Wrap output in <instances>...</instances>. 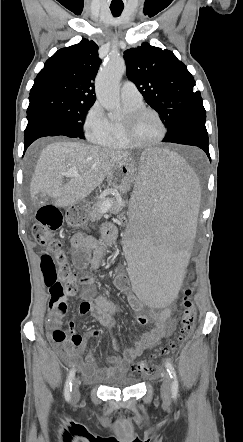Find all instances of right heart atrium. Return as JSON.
<instances>
[{
	"label": "right heart atrium",
	"mask_w": 243,
	"mask_h": 442,
	"mask_svg": "<svg viewBox=\"0 0 243 442\" xmlns=\"http://www.w3.org/2000/svg\"><path fill=\"white\" fill-rule=\"evenodd\" d=\"M108 128V119L104 114L101 105L96 101L87 110L83 130L88 140L95 142Z\"/></svg>",
	"instance_id": "d8ad5b80"
}]
</instances>
